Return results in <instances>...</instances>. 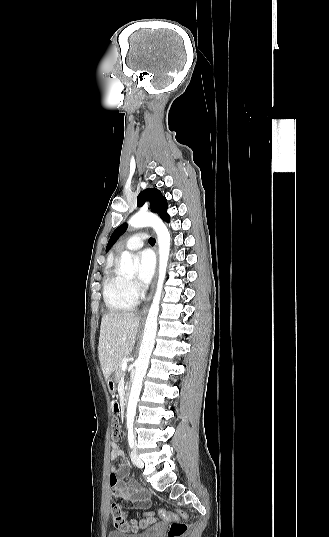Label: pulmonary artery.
I'll return each instance as SVG.
<instances>
[{"instance_id": "pulmonary-artery-1", "label": "pulmonary artery", "mask_w": 329, "mask_h": 537, "mask_svg": "<svg viewBox=\"0 0 329 537\" xmlns=\"http://www.w3.org/2000/svg\"><path fill=\"white\" fill-rule=\"evenodd\" d=\"M146 239V235L143 233H138L131 236L124 244V249L127 250H138L143 247Z\"/></svg>"}]
</instances>
